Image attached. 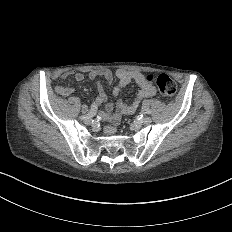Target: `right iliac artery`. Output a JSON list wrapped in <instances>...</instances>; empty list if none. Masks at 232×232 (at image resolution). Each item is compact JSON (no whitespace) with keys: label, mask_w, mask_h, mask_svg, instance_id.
Masks as SVG:
<instances>
[{"label":"right iliac artery","mask_w":232,"mask_h":232,"mask_svg":"<svg viewBox=\"0 0 232 232\" xmlns=\"http://www.w3.org/2000/svg\"><path fill=\"white\" fill-rule=\"evenodd\" d=\"M94 115H95V106H92L90 112L87 115L79 116V119L86 120V119L92 118Z\"/></svg>","instance_id":"obj_1"}]
</instances>
